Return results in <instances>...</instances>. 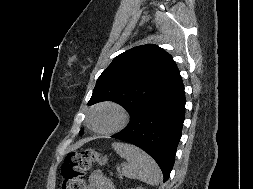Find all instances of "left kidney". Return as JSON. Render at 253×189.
Instances as JSON below:
<instances>
[{
	"mask_svg": "<svg viewBox=\"0 0 253 189\" xmlns=\"http://www.w3.org/2000/svg\"><path fill=\"white\" fill-rule=\"evenodd\" d=\"M136 189H143L142 187H137Z\"/></svg>",
	"mask_w": 253,
	"mask_h": 189,
	"instance_id": "obj_1",
	"label": "left kidney"
}]
</instances>
